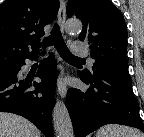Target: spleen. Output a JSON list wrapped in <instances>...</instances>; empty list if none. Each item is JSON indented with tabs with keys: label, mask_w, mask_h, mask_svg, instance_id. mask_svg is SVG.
Masks as SVG:
<instances>
[{
	"label": "spleen",
	"mask_w": 144,
	"mask_h": 137,
	"mask_svg": "<svg viewBox=\"0 0 144 137\" xmlns=\"http://www.w3.org/2000/svg\"><path fill=\"white\" fill-rule=\"evenodd\" d=\"M96 137H144V134L131 127L108 124L98 129Z\"/></svg>",
	"instance_id": "spleen-1"
}]
</instances>
